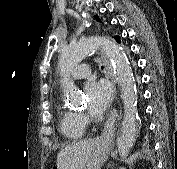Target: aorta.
<instances>
[{"label": "aorta", "mask_w": 177, "mask_h": 169, "mask_svg": "<svg viewBox=\"0 0 177 169\" xmlns=\"http://www.w3.org/2000/svg\"><path fill=\"white\" fill-rule=\"evenodd\" d=\"M101 46L106 57L110 59L121 87V97L124 104V118L117 135V148L119 156L124 159L132 148L139 129V116L137 110V94L134 77L130 63L120 46L105 37H89L66 46L60 55L58 68L61 74V85L65 100L72 106L82 102V96L74 83L70 80V72L85 57L93 54Z\"/></svg>", "instance_id": "1"}]
</instances>
